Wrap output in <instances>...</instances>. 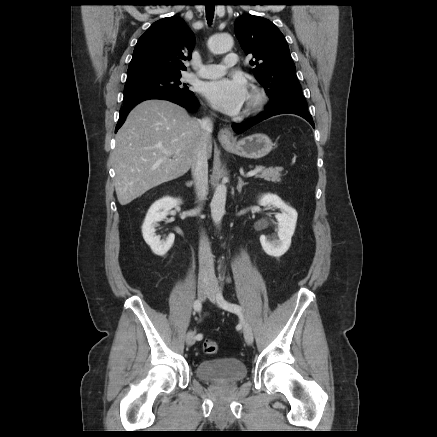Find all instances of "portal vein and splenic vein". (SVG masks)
<instances>
[{
    "label": "portal vein and splenic vein",
    "instance_id": "1",
    "mask_svg": "<svg viewBox=\"0 0 437 437\" xmlns=\"http://www.w3.org/2000/svg\"><path fill=\"white\" fill-rule=\"evenodd\" d=\"M258 172H260V169H255V170L248 172L246 175H247V177H252V176L256 175Z\"/></svg>",
    "mask_w": 437,
    "mask_h": 437
}]
</instances>
